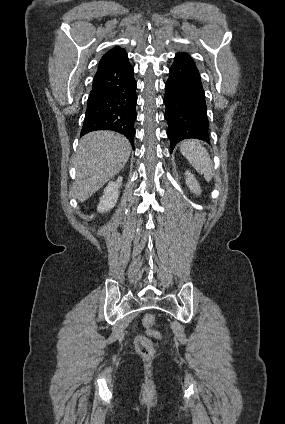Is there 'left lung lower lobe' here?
<instances>
[{
    "label": "left lung lower lobe",
    "instance_id": "obj_1",
    "mask_svg": "<svg viewBox=\"0 0 285 424\" xmlns=\"http://www.w3.org/2000/svg\"><path fill=\"white\" fill-rule=\"evenodd\" d=\"M165 119L172 152L183 139L195 138L209 142L208 118L200 73L191 56L179 52L169 69L165 83Z\"/></svg>",
    "mask_w": 285,
    "mask_h": 424
}]
</instances>
